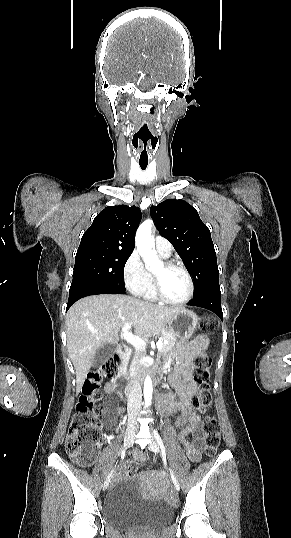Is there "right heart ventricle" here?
<instances>
[{
	"label": "right heart ventricle",
	"instance_id": "right-heart-ventricle-1",
	"mask_svg": "<svg viewBox=\"0 0 291 538\" xmlns=\"http://www.w3.org/2000/svg\"><path fill=\"white\" fill-rule=\"evenodd\" d=\"M146 300L155 301L158 298L156 297L154 290H153V282H152V276L150 275L149 284L145 290V292L142 295Z\"/></svg>",
	"mask_w": 291,
	"mask_h": 538
}]
</instances>
